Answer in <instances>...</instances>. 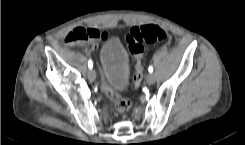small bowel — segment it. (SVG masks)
Returning <instances> with one entry per match:
<instances>
[{"label":"small bowel","instance_id":"c3829d8e","mask_svg":"<svg viewBox=\"0 0 245 145\" xmlns=\"http://www.w3.org/2000/svg\"><path fill=\"white\" fill-rule=\"evenodd\" d=\"M93 29H95V28H93ZM95 30L98 31L99 36H98V38L95 41H93L92 43H90V47L92 49L98 48L99 45L101 44V42L107 37V34L105 32H102V31H100L98 29H95Z\"/></svg>","mask_w":245,"mask_h":145}]
</instances>
